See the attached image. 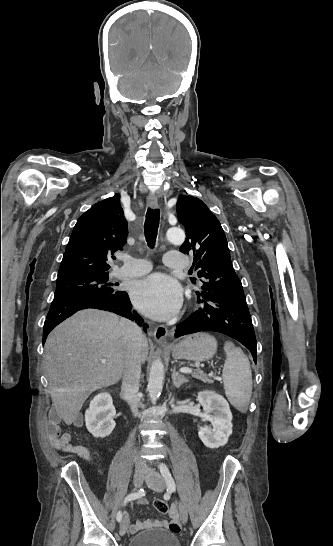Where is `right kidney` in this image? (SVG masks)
Masks as SVG:
<instances>
[{
  "label": "right kidney",
  "mask_w": 333,
  "mask_h": 546,
  "mask_svg": "<svg viewBox=\"0 0 333 546\" xmlns=\"http://www.w3.org/2000/svg\"><path fill=\"white\" fill-rule=\"evenodd\" d=\"M116 414L113 400L109 393L102 392L91 400L89 408L85 412L87 430L98 438L109 436L115 428L114 416Z\"/></svg>",
  "instance_id": "1"
}]
</instances>
